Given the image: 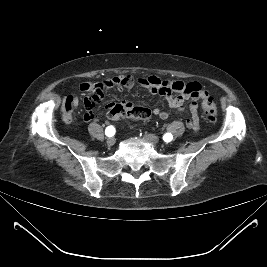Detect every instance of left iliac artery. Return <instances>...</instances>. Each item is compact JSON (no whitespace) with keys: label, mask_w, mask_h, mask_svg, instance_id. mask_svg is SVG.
I'll return each instance as SVG.
<instances>
[{"label":"left iliac artery","mask_w":267,"mask_h":267,"mask_svg":"<svg viewBox=\"0 0 267 267\" xmlns=\"http://www.w3.org/2000/svg\"><path fill=\"white\" fill-rule=\"evenodd\" d=\"M172 134H170V133H166L164 136H163V140L165 141V142H170L171 140H172Z\"/></svg>","instance_id":"1"}]
</instances>
